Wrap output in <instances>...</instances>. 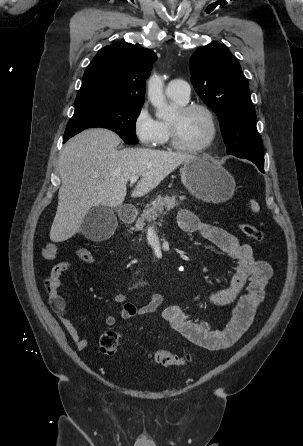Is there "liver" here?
<instances>
[{
    "mask_svg": "<svg viewBox=\"0 0 303 446\" xmlns=\"http://www.w3.org/2000/svg\"><path fill=\"white\" fill-rule=\"evenodd\" d=\"M121 140L107 129L85 130L70 139L61 151L58 168L62 185L51 226L52 242L74 236L92 207L121 205L132 176H142L131 196L142 197L170 173L195 156L145 148L117 147Z\"/></svg>",
    "mask_w": 303,
    "mask_h": 446,
    "instance_id": "obj_1",
    "label": "liver"
}]
</instances>
